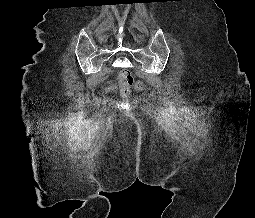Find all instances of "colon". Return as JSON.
<instances>
[{"mask_svg": "<svg viewBox=\"0 0 255 218\" xmlns=\"http://www.w3.org/2000/svg\"><path fill=\"white\" fill-rule=\"evenodd\" d=\"M118 82L120 91L123 94H128L134 86L141 87V84L136 83L133 74L128 69H121L119 71Z\"/></svg>", "mask_w": 255, "mask_h": 218, "instance_id": "5ec220e1", "label": "colon"}]
</instances>
